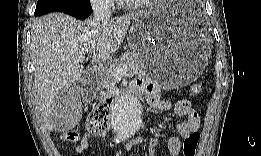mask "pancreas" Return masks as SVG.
<instances>
[{
  "label": "pancreas",
  "instance_id": "pancreas-1",
  "mask_svg": "<svg viewBox=\"0 0 261 156\" xmlns=\"http://www.w3.org/2000/svg\"><path fill=\"white\" fill-rule=\"evenodd\" d=\"M128 66L130 71L137 75L146 73V66L136 53L128 52L123 54L120 58L112 61L105 69L102 77V87L108 92H113V84L116 77V69L118 67Z\"/></svg>",
  "mask_w": 261,
  "mask_h": 156
}]
</instances>
